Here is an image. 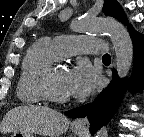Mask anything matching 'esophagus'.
Returning <instances> with one entry per match:
<instances>
[{
	"label": "esophagus",
	"mask_w": 144,
	"mask_h": 137,
	"mask_svg": "<svg viewBox=\"0 0 144 137\" xmlns=\"http://www.w3.org/2000/svg\"><path fill=\"white\" fill-rule=\"evenodd\" d=\"M89 126H90V123L87 117L77 118L73 122L74 128L84 131V132H88Z\"/></svg>",
	"instance_id": "34e87169"
}]
</instances>
